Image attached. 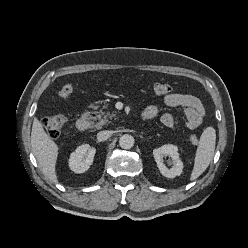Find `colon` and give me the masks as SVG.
Returning a JSON list of instances; mask_svg holds the SVG:
<instances>
[{
    "mask_svg": "<svg viewBox=\"0 0 248 248\" xmlns=\"http://www.w3.org/2000/svg\"><path fill=\"white\" fill-rule=\"evenodd\" d=\"M172 91V87L167 83H155L153 92L157 95H168ZM73 94V87L70 84L63 85L59 90V96L63 99H68ZM66 123V117L62 114L53 115L45 118L42 121L44 131L50 137H57ZM190 142L193 145H198L199 140L196 135L190 136Z\"/></svg>",
    "mask_w": 248,
    "mask_h": 248,
    "instance_id": "5ec220e1",
    "label": "colon"
}]
</instances>
